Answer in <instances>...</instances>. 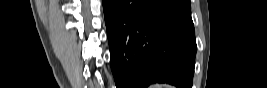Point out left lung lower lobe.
Segmentation results:
<instances>
[{"mask_svg":"<svg viewBox=\"0 0 267 88\" xmlns=\"http://www.w3.org/2000/svg\"><path fill=\"white\" fill-rule=\"evenodd\" d=\"M117 88H191L195 31L187 0H103Z\"/></svg>","mask_w":267,"mask_h":88,"instance_id":"obj_1","label":"left lung lower lobe"}]
</instances>
